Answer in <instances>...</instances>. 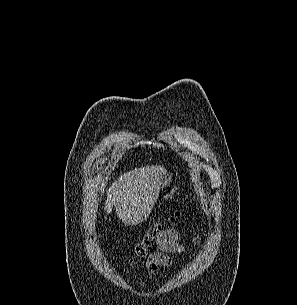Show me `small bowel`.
<instances>
[{
	"mask_svg": "<svg viewBox=\"0 0 297 305\" xmlns=\"http://www.w3.org/2000/svg\"><path fill=\"white\" fill-rule=\"evenodd\" d=\"M180 236V231L175 228L159 232L156 238L157 251L146 259V267L152 275H157L163 268L172 264L170 254L183 251L184 245ZM195 240L197 241V238ZM140 285L145 286L146 282L140 280Z\"/></svg>",
	"mask_w": 297,
	"mask_h": 305,
	"instance_id": "c3829d8e",
	"label": "small bowel"
}]
</instances>
